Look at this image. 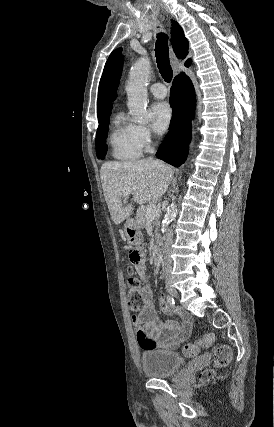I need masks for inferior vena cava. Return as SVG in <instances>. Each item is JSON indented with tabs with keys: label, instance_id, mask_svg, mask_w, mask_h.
<instances>
[{
	"label": "inferior vena cava",
	"instance_id": "inferior-vena-cava-1",
	"mask_svg": "<svg viewBox=\"0 0 274 427\" xmlns=\"http://www.w3.org/2000/svg\"><path fill=\"white\" fill-rule=\"evenodd\" d=\"M173 233L171 229H168L167 233H165V241H164V251H165V265L169 267L171 265V257L169 255L170 245L172 243Z\"/></svg>",
	"mask_w": 274,
	"mask_h": 427
}]
</instances>
